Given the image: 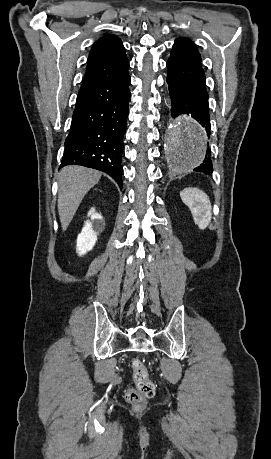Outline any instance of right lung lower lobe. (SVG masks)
I'll return each instance as SVG.
<instances>
[{
    "instance_id": "obj_1",
    "label": "right lung lower lobe",
    "mask_w": 271,
    "mask_h": 459,
    "mask_svg": "<svg viewBox=\"0 0 271 459\" xmlns=\"http://www.w3.org/2000/svg\"><path fill=\"white\" fill-rule=\"evenodd\" d=\"M129 84L127 71L79 91L60 168L72 164L94 168L110 175L122 188Z\"/></svg>"
}]
</instances>
